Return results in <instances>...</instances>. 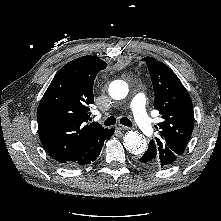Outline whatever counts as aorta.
<instances>
[{
    "mask_svg": "<svg viewBox=\"0 0 221 221\" xmlns=\"http://www.w3.org/2000/svg\"><path fill=\"white\" fill-rule=\"evenodd\" d=\"M128 90L127 83L122 80H115L109 85V95L115 100L125 98ZM123 145L135 155L143 153L146 149V141L137 131H128L123 137Z\"/></svg>",
    "mask_w": 221,
    "mask_h": 221,
    "instance_id": "aorta-1",
    "label": "aorta"
}]
</instances>
